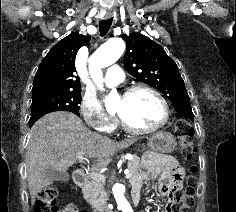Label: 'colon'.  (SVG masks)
<instances>
[{
  "instance_id": "obj_1",
  "label": "colon",
  "mask_w": 236,
  "mask_h": 212,
  "mask_svg": "<svg viewBox=\"0 0 236 212\" xmlns=\"http://www.w3.org/2000/svg\"><path fill=\"white\" fill-rule=\"evenodd\" d=\"M192 127L184 119L177 120L175 124V135L180 140V153L190 159L195 153V146L191 142ZM194 168H190V174L186 178V187L179 191V185L172 186L175 189L176 201L172 205V212H185L194 206V194L196 187V177ZM58 191L55 187L42 189L36 199V212H61L57 205Z\"/></svg>"
}]
</instances>
